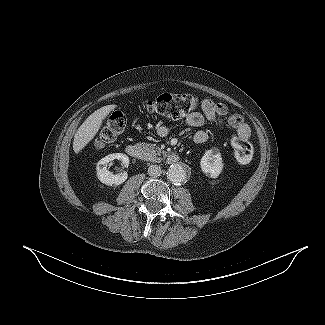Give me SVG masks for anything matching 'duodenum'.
Returning <instances> with one entry per match:
<instances>
[{
    "label": "duodenum",
    "mask_w": 325,
    "mask_h": 325,
    "mask_svg": "<svg viewBox=\"0 0 325 325\" xmlns=\"http://www.w3.org/2000/svg\"><path fill=\"white\" fill-rule=\"evenodd\" d=\"M126 152L130 157H132L134 159H138V160H141L144 156L141 146L138 144H134V143L129 144L126 147ZM166 161L168 164L177 163L179 161V156L176 153H170L166 157Z\"/></svg>",
    "instance_id": "1"
}]
</instances>
